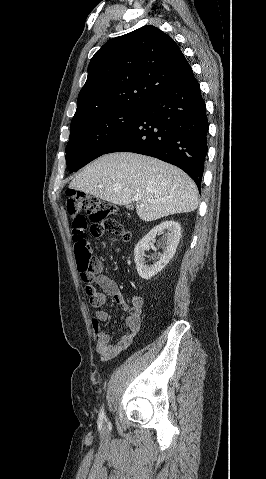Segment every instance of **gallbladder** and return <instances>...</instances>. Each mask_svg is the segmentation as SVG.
I'll return each mask as SVG.
<instances>
[{"label":"gallbladder","instance_id":"obj_1","mask_svg":"<svg viewBox=\"0 0 266 479\" xmlns=\"http://www.w3.org/2000/svg\"><path fill=\"white\" fill-rule=\"evenodd\" d=\"M128 208H129V209H132L133 207H132L131 205H128Z\"/></svg>","mask_w":266,"mask_h":479}]
</instances>
